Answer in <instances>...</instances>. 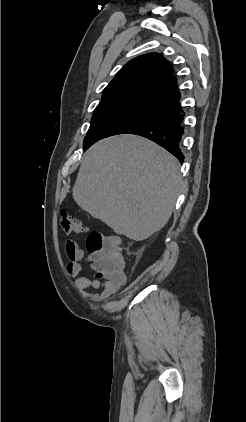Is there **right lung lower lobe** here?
<instances>
[{"label":"right lung lower lobe","instance_id":"right-lung-lower-lobe-1","mask_svg":"<svg viewBox=\"0 0 246 422\" xmlns=\"http://www.w3.org/2000/svg\"><path fill=\"white\" fill-rule=\"evenodd\" d=\"M179 99L160 108L161 115L154 120L136 128L130 134L146 137L172 153L179 161L184 156L179 148V143L184 130L181 126L183 118L182 107Z\"/></svg>","mask_w":246,"mask_h":422}]
</instances>
